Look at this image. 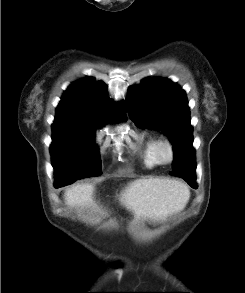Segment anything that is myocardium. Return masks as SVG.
Segmentation results:
<instances>
[{"instance_id":"myocardium-1","label":"myocardium","mask_w":245,"mask_h":293,"mask_svg":"<svg viewBox=\"0 0 245 293\" xmlns=\"http://www.w3.org/2000/svg\"><path fill=\"white\" fill-rule=\"evenodd\" d=\"M155 152L158 161L162 164H170L175 160V148L173 143L168 139L159 140Z\"/></svg>"}]
</instances>
